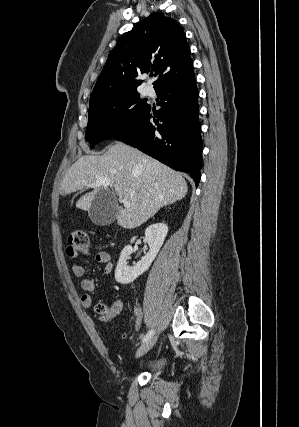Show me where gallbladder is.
Listing matches in <instances>:
<instances>
[{
  "label": "gallbladder",
  "instance_id": "gallbladder-1",
  "mask_svg": "<svg viewBox=\"0 0 299 427\" xmlns=\"http://www.w3.org/2000/svg\"><path fill=\"white\" fill-rule=\"evenodd\" d=\"M118 215V205L115 195L106 190H100L94 196L88 211L90 220L100 226L113 223Z\"/></svg>",
  "mask_w": 299,
  "mask_h": 427
}]
</instances>
